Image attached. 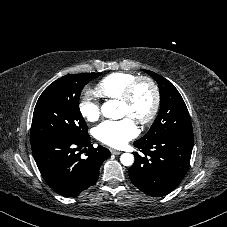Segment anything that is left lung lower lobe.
<instances>
[{
  "label": "left lung lower lobe",
  "mask_w": 227,
  "mask_h": 227,
  "mask_svg": "<svg viewBox=\"0 0 227 227\" xmlns=\"http://www.w3.org/2000/svg\"><path fill=\"white\" fill-rule=\"evenodd\" d=\"M129 168L131 182L147 195L161 197L172 192L186 175L193 149V133L167 136L150 142H134Z\"/></svg>",
  "instance_id": "left-lung-lower-lobe-1"
}]
</instances>
